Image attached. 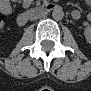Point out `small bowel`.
Returning <instances> with one entry per match:
<instances>
[{
	"mask_svg": "<svg viewBox=\"0 0 91 91\" xmlns=\"http://www.w3.org/2000/svg\"><path fill=\"white\" fill-rule=\"evenodd\" d=\"M9 3L7 1H2L1 2V9L4 13H8L9 12Z\"/></svg>",
	"mask_w": 91,
	"mask_h": 91,
	"instance_id": "c3829d8e",
	"label": "small bowel"
}]
</instances>
